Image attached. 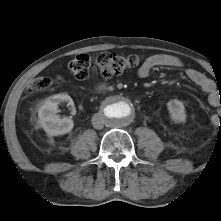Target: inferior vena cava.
Masks as SVG:
<instances>
[{"instance_id": "602c4592", "label": "inferior vena cava", "mask_w": 221, "mask_h": 221, "mask_svg": "<svg viewBox=\"0 0 221 221\" xmlns=\"http://www.w3.org/2000/svg\"><path fill=\"white\" fill-rule=\"evenodd\" d=\"M105 123V118L101 114H94L92 117V125L95 129H103Z\"/></svg>"}]
</instances>
